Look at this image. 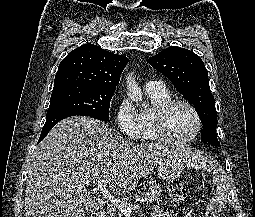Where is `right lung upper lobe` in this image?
<instances>
[{"label":"right lung upper lobe","instance_id":"right-lung-upper-lobe-1","mask_svg":"<svg viewBox=\"0 0 255 217\" xmlns=\"http://www.w3.org/2000/svg\"><path fill=\"white\" fill-rule=\"evenodd\" d=\"M126 64L127 58L123 55L111 53L94 44H84L61 61L54 88L78 85L115 91Z\"/></svg>","mask_w":255,"mask_h":217}]
</instances>
